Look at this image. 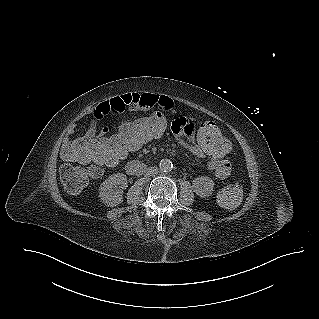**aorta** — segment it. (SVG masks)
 Segmentation results:
<instances>
[{
    "mask_svg": "<svg viewBox=\"0 0 319 319\" xmlns=\"http://www.w3.org/2000/svg\"><path fill=\"white\" fill-rule=\"evenodd\" d=\"M159 168L163 172H169L173 168V164L169 159H162L159 163Z\"/></svg>",
    "mask_w": 319,
    "mask_h": 319,
    "instance_id": "obj_1",
    "label": "aorta"
}]
</instances>
